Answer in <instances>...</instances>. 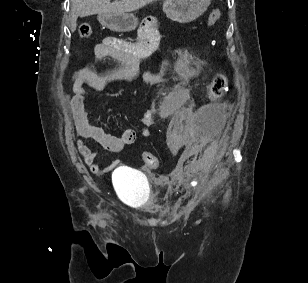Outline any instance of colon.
Here are the masks:
<instances>
[{
	"label": "colon",
	"instance_id": "5ec220e1",
	"mask_svg": "<svg viewBox=\"0 0 308 283\" xmlns=\"http://www.w3.org/2000/svg\"><path fill=\"white\" fill-rule=\"evenodd\" d=\"M221 17V12L219 9H214L208 19H207V25L212 26L214 25ZM92 34V28L91 26L84 22L80 24L79 26V35L83 39H88ZM227 86V77L224 73H218L211 83L208 86L207 89V96L211 100H215L219 98L225 91ZM142 159L145 164V166L149 168H158L160 166L159 159L150 152H144L142 154Z\"/></svg>",
	"mask_w": 308,
	"mask_h": 283
}]
</instances>
